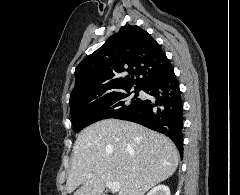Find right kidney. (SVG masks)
Segmentation results:
<instances>
[{
    "label": "right kidney",
    "mask_w": 240,
    "mask_h": 195,
    "mask_svg": "<svg viewBox=\"0 0 240 195\" xmlns=\"http://www.w3.org/2000/svg\"><path fill=\"white\" fill-rule=\"evenodd\" d=\"M147 195H170V189L168 185H156L153 189L148 191Z\"/></svg>",
    "instance_id": "obj_1"
}]
</instances>
